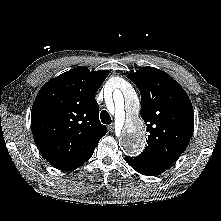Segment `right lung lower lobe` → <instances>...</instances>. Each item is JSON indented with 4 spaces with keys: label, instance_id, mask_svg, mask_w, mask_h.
<instances>
[{
    "label": "right lung lower lobe",
    "instance_id": "1",
    "mask_svg": "<svg viewBox=\"0 0 221 221\" xmlns=\"http://www.w3.org/2000/svg\"><path fill=\"white\" fill-rule=\"evenodd\" d=\"M94 150L90 151L88 154L84 155L83 157L75 160L74 162H72L71 164L65 166L64 168H62L61 170L64 171H72L75 170L76 168H78L80 165H82L83 163H85L93 154Z\"/></svg>",
    "mask_w": 221,
    "mask_h": 221
}]
</instances>
